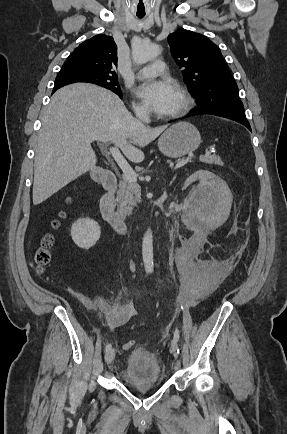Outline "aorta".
<instances>
[{
  "label": "aorta",
  "instance_id": "762f6f07",
  "mask_svg": "<svg viewBox=\"0 0 287 434\" xmlns=\"http://www.w3.org/2000/svg\"><path fill=\"white\" fill-rule=\"evenodd\" d=\"M161 53L160 46L157 44H143L132 49V58L137 64H144ZM142 257L146 272H153V236L152 231L148 229L143 236Z\"/></svg>",
  "mask_w": 287,
  "mask_h": 434
}]
</instances>
